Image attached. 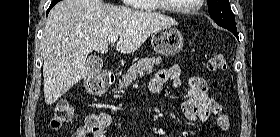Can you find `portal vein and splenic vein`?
I'll return each mask as SVG.
<instances>
[{"instance_id":"1","label":"portal vein and splenic vein","mask_w":280,"mask_h":137,"mask_svg":"<svg viewBox=\"0 0 280 137\" xmlns=\"http://www.w3.org/2000/svg\"><path fill=\"white\" fill-rule=\"evenodd\" d=\"M118 40V35L112 36L110 42L114 44Z\"/></svg>"}]
</instances>
